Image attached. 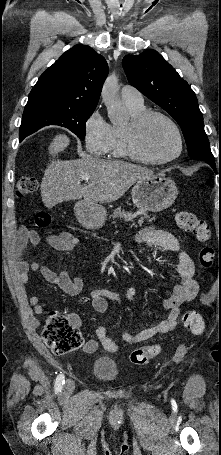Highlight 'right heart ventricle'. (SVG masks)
I'll list each match as a JSON object with an SVG mask.
<instances>
[{
  "label": "right heart ventricle",
  "instance_id": "right-heart-ventricle-1",
  "mask_svg": "<svg viewBox=\"0 0 221 455\" xmlns=\"http://www.w3.org/2000/svg\"><path fill=\"white\" fill-rule=\"evenodd\" d=\"M129 112L131 114L132 119L139 116L143 112H145L144 106H133L126 104ZM125 128L126 126H118L113 125L111 126L110 131V140L109 146L107 150V155L110 158L114 159H135L140 160L133 155H131L125 145ZM142 161V160H140Z\"/></svg>",
  "mask_w": 221,
  "mask_h": 455
}]
</instances>
